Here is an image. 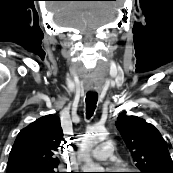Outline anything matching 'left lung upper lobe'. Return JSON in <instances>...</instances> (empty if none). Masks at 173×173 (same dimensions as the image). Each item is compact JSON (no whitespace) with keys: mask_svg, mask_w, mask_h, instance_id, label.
Segmentation results:
<instances>
[{"mask_svg":"<svg viewBox=\"0 0 173 173\" xmlns=\"http://www.w3.org/2000/svg\"><path fill=\"white\" fill-rule=\"evenodd\" d=\"M116 127L122 135L139 173H173L167 143L150 123L137 116L120 115Z\"/></svg>","mask_w":173,"mask_h":173,"instance_id":"left-lung-upper-lobe-1","label":"left lung upper lobe"}]
</instances>
